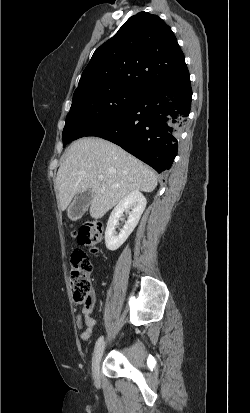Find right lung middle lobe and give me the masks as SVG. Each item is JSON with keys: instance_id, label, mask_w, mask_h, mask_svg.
Listing matches in <instances>:
<instances>
[{"instance_id": "right-lung-middle-lobe-1", "label": "right lung middle lobe", "mask_w": 250, "mask_h": 413, "mask_svg": "<svg viewBox=\"0 0 250 413\" xmlns=\"http://www.w3.org/2000/svg\"><path fill=\"white\" fill-rule=\"evenodd\" d=\"M139 93L140 90L125 86L74 93L63 130V146L116 117Z\"/></svg>"}]
</instances>
